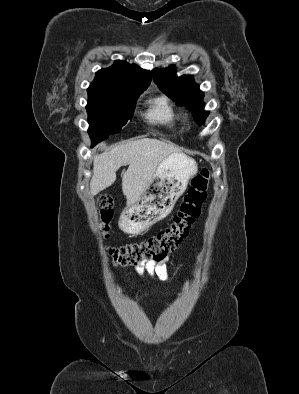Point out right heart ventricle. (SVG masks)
<instances>
[{"mask_svg": "<svg viewBox=\"0 0 299 394\" xmlns=\"http://www.w3.org/2000/svg\"><path fill=\"white\" fill-rule=\"evenodd\" d=\"M145 118L152 124L171 128L180 116L164 96L149 101Z\"/></svg>", "mask_w": 299, "mask_h": 394, "instance_id": "right-heart-ventricle-1", "label": "right heart ventricle"}]
</instances>
